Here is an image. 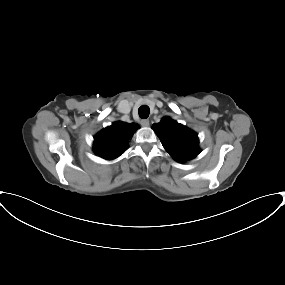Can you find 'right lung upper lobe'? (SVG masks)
Returning a JSON list of instances; mask_svg holds the SVG:
<instances>
[{"label": "right lung upper lobe", "mask_w": 285, "mask_h": 285, "mask_svg": "<svg viewBox=\"0 0 285 285\" xmlns=\"http://www.w3.org/2000/svg\"><path fill=\"white\" fill-rule=\"evenodd\" d=\"M138 128V124L114 122L95 136L94 152L107 160L119 157L128 148V140Z\"/></svg>", "instance_id": "obj_1"}]
</instances>
